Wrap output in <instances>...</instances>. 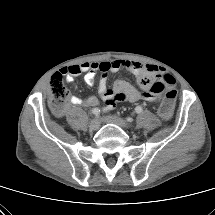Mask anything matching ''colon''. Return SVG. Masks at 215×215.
<instances>
[{
	"label": "colon",
	"mask_w": 215,
	"mask_h": 215,
	"mask_svg": "<svg viewBox=\"0 0 215 215\" xmlns=\"http://www.w3.org/2000/svg\"><path fill=\"white\" fill-rule=\"evenodd\" d=\"M174 83V78L170 74H165L162 76V81L156 82L152 87L154 92L162 93L164 87L167 86V91L158 108L159 120L163 124H168L172 120V110L177 97V92L173 87ZM68 94L62 75L55 73L49 83V102L54 113L61 114L63 112Z\"/></svg>",
	"instance_id": "1"
}]
</instances>
